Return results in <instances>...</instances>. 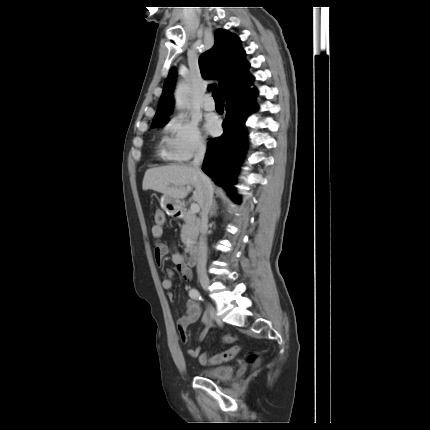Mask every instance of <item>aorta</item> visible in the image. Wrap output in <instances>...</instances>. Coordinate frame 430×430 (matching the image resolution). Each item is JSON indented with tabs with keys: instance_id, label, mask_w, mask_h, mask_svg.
<instances>
[{
	"instance_id": "aorta-1",
	"label": "aorta",
	"mask_w": 430,
	"mask_h": 430,
	"mask_svg": "<svg viewBox=\"0 0 430 430\" xmlns=\"http://www.w3.org/2000/svg\"><path fill=\"white\" fill-rule=\"evenodd\" d=\"M177 108L184 109L189 102V89L186 83H180L175 92Z\"/></svg>"
}]
</instances>
